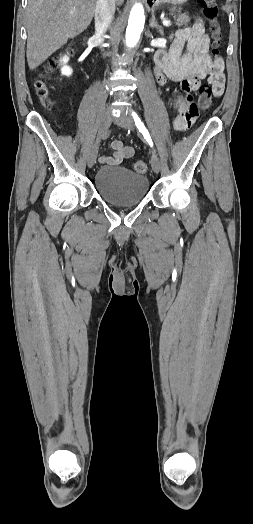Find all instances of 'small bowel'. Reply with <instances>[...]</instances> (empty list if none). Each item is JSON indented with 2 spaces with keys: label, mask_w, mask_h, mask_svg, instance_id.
Segmentation results:
<instances>
[{
  "label": "small bowel",
  "mask_w": 253,
  "mask_h": 524,
  "mask_svg": "<svg viewBox=\"0 0 253 524\" xmlns=\"http://www.w3.org/2000/svg\"><path fill=\"white\" fill-rule=\"evenodd\" d=\"M170 39V49L160 50L155 55L154 75L159 85H165L167 81L181 83L184 97L170 101L169 107L180 113L172 120L173 128L183 131L192 127L200 116L195 92L204 79L211 85L214 96L223 95L224 64L222 59L209 56L210 38L200 21L172 33ZM111 147L112 155L99 157L101 164L117 165L134 155L133 147L125 146L120 140L112 141Z\"/></svg>",
  "instance_id": "obj_1"
}]
</instances>
